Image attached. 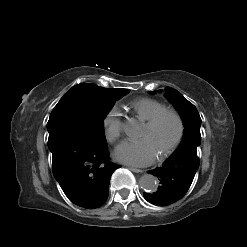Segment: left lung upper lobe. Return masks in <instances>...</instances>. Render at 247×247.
I'll return each mask as SVG.
<instances>
[{"mask_svg": "<svg viewBox=\"0 0 247 247\" xmlns=\"http://www.w3.org/2000/svg\"><path fill=\"white\" fill-rule=\"evenodd\" d=\"M151 93L154 94L155 91ZM165 96L174 104L183 119L185 130L181 146L192 145L197 147L200 145L201 118L196 107L173 88H167Z\"/></svg>", "mask_w": 247, "mask_h": 247, "instance_id": "obj_1", "label": "left lung upper lobe"}]
</instances>
